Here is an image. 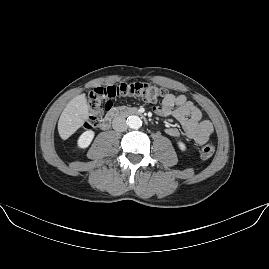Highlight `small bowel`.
I'll use <instances>...</instances> for the list:
<instances>
[{"mask_svg":"<svg viewBox=\"0 0 269 269\" xmlns=\"http://www.w3.org/2000/svg\"><path fill=\"white\" fill-rule=\"evenodd\" d=\"M155 112L159 116L175 118L181 124L186 136L198 145L205 144L214 133L212 123L202 119L200 109L185 95L168 93ZM166 132L172 137L180 136L179 130L174 127L168 128Z\"/></svg>","mask_w":269,"mask_h":269,"instance_id":"small-bowel-1","label":"small bowel"}]
</instances>
